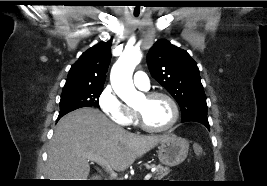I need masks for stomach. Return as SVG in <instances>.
<instances>
[{"label":"stomach","mask_w":267,"mask_h":186,"mask_svg":"<svg viewBox=\"0 0 267 186\" xmlns=\"http://www.w3.org/2000/svg\"><path fill=\"white\" fill-rule=\"evenodd\" d=\"M188 150V141L174 134H170L160 142L157 152L162 164L176 166L186 159Z\"/></svg>","instance_id":"stomach-1"}]
</instances>
